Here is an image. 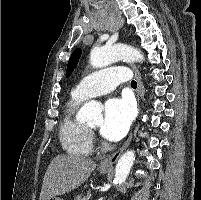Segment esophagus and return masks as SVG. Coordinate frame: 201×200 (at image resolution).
Here are the masks:
<instances>
[{
    "label": "esophagus",
    "instance_id": "34e87169",
    "mask_svg": "<svg viewBox=\"0 0 201 200\" xmlns=\"http://www.w3.org/2000/svg\"><path fill=\"white\" fill-rule=\"evenodd\" d=\"M131 68L134 72V75H135V78H136L137 84H138V86H137V101H138L139 110L141 112L140 100H141L142 77H141L140 71L138 70V68L135 65L131 64ZM131 140H132V133L129 135V137L125 141V143L115 153H113L111 156L103 159L100 162L99 167L101 169L112 168L113 164L116 163V161L121 156L123 151L129 146Z\"/></svg>",
    "mask_w": 201,
    "mask_h": 200
}]
</instances>
